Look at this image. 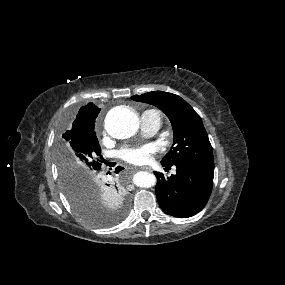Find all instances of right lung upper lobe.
Instances as JSON below:
<instances>
[{"label": "right lung upper lobe", "mask_w": 285, "mask_h": 285, "mask_svg": "<svg viewBox=\"0 0 285 285\" xmlns=\"http://www.w3.org/2000/svg\"><path fill=\"white\" fill-rule=\"evenodd\" d=\"M99 112L100 109L92 103L82 106L72 124L71 129L66 131L64 137L77 134H87L94 131L95 119Z\"/></svg>", "instance_id": "obj_1"}]
</instances>
